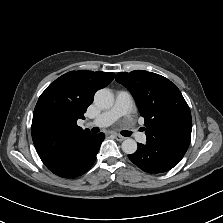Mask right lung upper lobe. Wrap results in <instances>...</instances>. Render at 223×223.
I'll return each mask as SVG.
<instances>
[{"instance_id":"obj_1","label":"right lung upper lobe","mask_w":223,"mask_h":223,"mask_svg":"<svg viewBox=\"0 0 223 223\" xmlns=\"http://www.w3.org/2000/svg\"><path fill=\"white\" fill-rule=\"evenodd\" d=\"M111 72L70 71L41 94L32 121L36 151L48 169L64 162L89 131L77 125L97 90L111 83Z\"/></svg>"}]
</instances>
